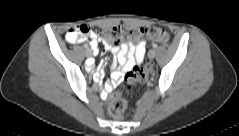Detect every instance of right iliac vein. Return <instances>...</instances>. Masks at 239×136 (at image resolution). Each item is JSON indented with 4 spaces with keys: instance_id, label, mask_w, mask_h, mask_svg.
Segmentation results:
<instances>
[{
    "instance_id": "63e3f726",
    "label": "right iliac vein",
    "mask_w": 239,
    "mask_h": 136,
    "mask_svg": "<svg viewBox=\"0 0 239 136\" xmlns=\"http://www.w3.org/2000/svg\"><path fill=\"white\" fill-rule=\"evenodd\" d=\"M86 55L87 56H92V50L91 49L86 50Z\"/></svg>"
}]
</instances>
